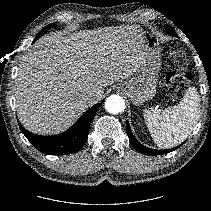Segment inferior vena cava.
Wrapping results in <instances>:
<instances>
[{
  "label": "inferior vena cava",
  "mask_w": 211,
  "mask_h": 211,
  "mask_svg": "<svg viewBox=\"0 0 211 211\" xmlns=\"http://www.w3.org/2000/svg\"><path fill=\"white\" fill-rule=\"evenodd\" d=\"M99 100V98L97 97L96 94L94 93H88L86 96H85V101L90 104V105H93L95 103H97Z\"/></svg>",
  "instance_id": "obj_1"
}]
</instances>
